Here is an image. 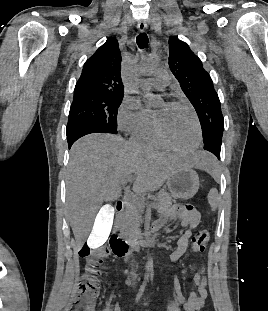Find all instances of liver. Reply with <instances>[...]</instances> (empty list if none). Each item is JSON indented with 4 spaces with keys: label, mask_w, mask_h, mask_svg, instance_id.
I'll list each match as a JSON object with an SVG mask.
<instances>
[{
    "label": "liver",
    "mask_w": 268,
    "mask_h": 311,
    "mask_svg": "<svg viewBox=\"0 0 268 311\" xmlns=\"http://www.w3.org/2000/svg\"><path fill=\"white\" fill-rule=\"evenodd\" d=\"M211 160L205 152L182 159L139 148L116 135L94 133L82 137L70 150L66 182L70 226L78 247L93 233L103 202L121 196L126 178L135 177V193L155 191L176 169H205Z\"/></svg>",
    "instance_id": "obj_1"
}]
</instances>
